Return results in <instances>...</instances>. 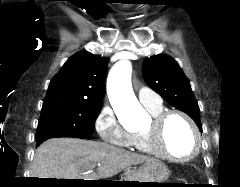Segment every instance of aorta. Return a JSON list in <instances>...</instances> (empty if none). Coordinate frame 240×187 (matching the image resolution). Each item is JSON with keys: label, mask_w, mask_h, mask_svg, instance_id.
Here are the masks:
<instances>
[{"label": "aorta", "mask_w": 240, "mask_h": 187, "mask_svg": "<svg viewBox=\"0 0 240 187\" xmlns=\"http://www.w3.org/2000/svg\"><path fill=\"white\" fill-rule=\"evenodd\" d=\"M131 73L130 61L121 60L117 62L111 68L107 78V94L119 120L129 119L138 123L146 118L147 113L134 95Z\"/></svg>", "instance_id": "762f6f07"}]
</instances>
